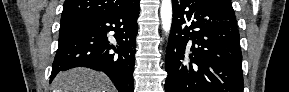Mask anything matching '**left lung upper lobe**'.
<instances>
[{
	"label": "left lung upper lobe",
	"instance_id": "left-lung-upper-lobe-1",
	"mask_svg": "<svg viewBox=\"0 0 289 92\" xmlns=\"http://www.w3.org/2000/svg\"><path fill=\"white\" fill-rule=\"evenodd\" d=\"M209 1L216 4V5H219L223 8H225L226 10H228L232 13H234L231 0H209Z\"/></svg>",
	"mask_w": 289,
	"mask_h": 92
}]
</instances>
